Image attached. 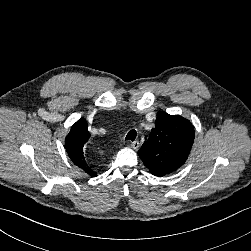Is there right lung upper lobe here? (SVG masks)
<instances>
[{
  "label": "right lung upper lobe",
  "instance_id": "cb5924a9",
  "mask_svg": "<svg viewBox=\"0 0 251 251\" xmlns=\"http://www.w3.org/2000/svg\"><path fill=\"white\" fill-rule=\"evenodd\" d=\"M90 138L88 124L85 119H79L72 127L65 140L66 150L75 165L88 173L91 177L97 176L84 158L83 147Z\"/></svg>",
  "mask_w": 251,
  "mask_h": 251
}]
</instances>
